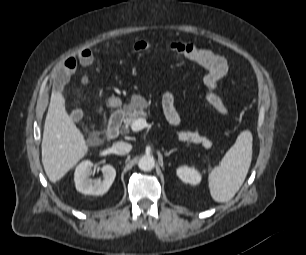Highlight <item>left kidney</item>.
<instances>
[{"label":"left kidney","mask_w":306,"mask_h":255,"mask_svg":"<svg viewBox=\"0 0 306 255\" xmlns=\"http://www.w3.org/2000/svg\"><path fill=\"white\" fill-rule=\"evenodd\" d=\"M177 176L184 182L191 185H197L201 182L202 176L194 167L186 165L177 169Z\"/></svg>","instance_id":"1"}]
</instances>
